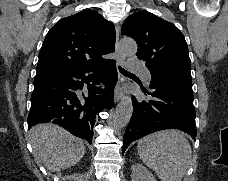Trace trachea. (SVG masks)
Listing matches in <instances>:
<instances>
[{
	"label": "trachea",
	"instance_id": "3493384b",
	"mask_svg": "<svg viewBox=\"0 0 228 181\" xmlns=\"http://www.w3.org/2000/svg\"><path fill=\"white\" fill-rule=\"evenodd\" d=\"M119 71L124 75H132L129 71L124 70V68L119 67Z\"/></svg>",
	"mask_w": 228,
	"mask_h": 181
}]
</instances>
